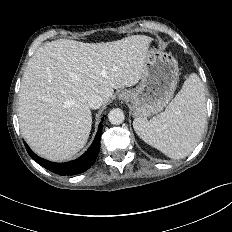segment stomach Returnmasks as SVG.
I'll return each mask as SVG.
<instances>
[{"mask_svg": "<svg viewBox=\"0 0 232 232\" xmlns=\"http://www.w3.org/2000/svg\"><path fill=\"white\" fill-rule=\"evenodd\" d=\"M179 80L176 59L169 53L149 48L140 83L130 90V102L135 118L161 112L172 99Z\"/></svg>", "mask_w": 232, "mask_h": 232, "instance_id": "stomach-1", "label": "stomach"}]
</instances>
